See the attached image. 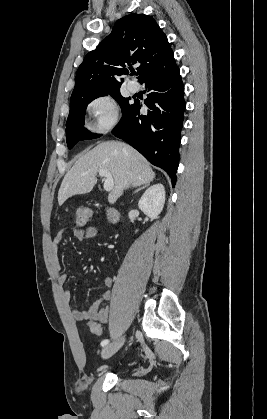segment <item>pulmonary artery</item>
<instances>
[{"label": "pulmonary artery", "instance_id": "pulmonary-artery-1", "mask_svg": "<svg viewBox=\"0 0 267 419\" xmlns=\"http://www.w3.org/2000/svg\"><path fill=\"white\" fill-rule=\"evenodd\" d=\"M130 92L135 93L139 90V85L135 81H130L127 85Z\"/></svg>", "mask_w": 267, "mask_h": 419}]
</instances>
